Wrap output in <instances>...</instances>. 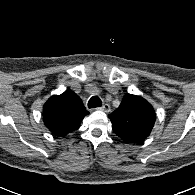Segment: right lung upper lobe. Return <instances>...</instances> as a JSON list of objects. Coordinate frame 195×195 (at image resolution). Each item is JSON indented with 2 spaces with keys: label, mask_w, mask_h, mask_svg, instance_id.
Returning a JSON list of instances; mask_svg holds the SVG:
<instances>
[{
  "label": "right lung upper lobe",
  "mask_w": 195,
  "mask_h": 195,
  "mask_svg": "<svg viewBox=\"0 0 195 195\" xmlns=\"http://www.w3.org/2000/svg\"><path fill=\"white\" fill-rule=\"evenodd\" d=\"M89 112L74 92L53 95L43 107V121L56 136L64 137L80 126Z\"/></svg>",
  "instance_id": "cb5924a9"
}]
</instances>
